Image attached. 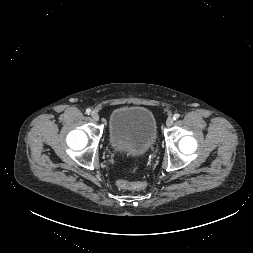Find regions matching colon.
<instances>
[{"instance_id":"colon-1","label":"colon","mask_w":253,"mask_h":253,"mask_svg":"<svg viewBox=\"0 0 253 253\" xmlns=\"http://www.w3.org/2000/svg\"><path fill=\"white\" fill-rule=\"evenodd\" d=\"M117 187L123 190H142L146 187V183L143 181H127L124 179H120L117 181Z\"/></svg>"}]
</instances>
